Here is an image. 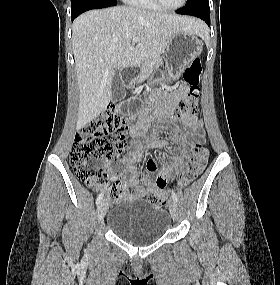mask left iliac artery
<instances>
[{
  "label": "left iliac artery",
  "mask_w": 280,
  "mask_h": 285,
  "mask_svg": "<svg viewBox=\"0 0 280 285\" xmlns=\"http://www.w3.org/2000/svg\"><path fill=\"white\" fill-rule=\"evenodd\" d=\"M172 199L177 203L178 202V197L174 191L171 192Z\"/></svg>",
  "instance_id": "left-iliac-artery-1"
}]
</instances>
